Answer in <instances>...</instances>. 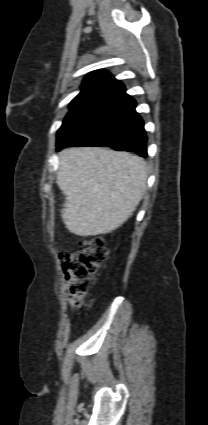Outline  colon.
<instances>
[{
    "label": "colon",
    "instance_id": "5ec220e1",
    "mask_svg": "<svg viewBox=\"0 0 208 425\" xmlns=\"http://www.w3.org/2000/svg\"><path fill=\"white\" fill-rule=\"evenodd\" d=\"M61 256L66 293L70 298L80 301L87 292L89 276L96 273L107 260L105 243L98 236L82 238L75 251L65 252Z\"/></svg>",
    "mask_w": 208,
    "mask_h": 425
}]
</instances>
